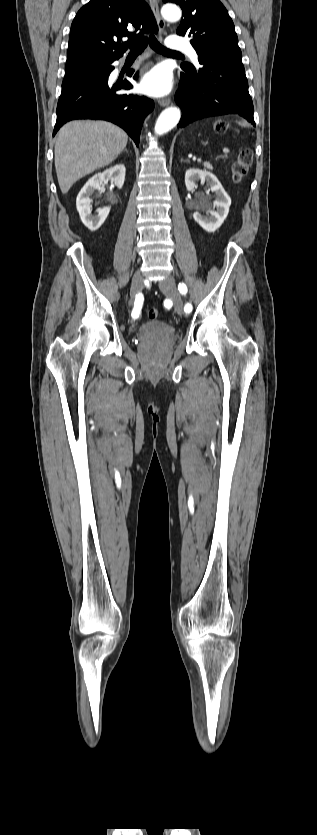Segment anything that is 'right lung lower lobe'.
Masks as SVG:
<instances>
[{
    "label": "right lung lower lobe",
    "mask_w": 317,
    "mask_h": 835,
    "mask_svg": "<svg viewBox=\"0 0 317 835\" xmlns=\"http://www.w3.org/2000/svg\"><path fill=\"white\" fill-rule=\"evenodd\" d=\"M98 59H102L98 54L70 56L66 62V73ZM115 60L117 59L107 60L108 66L99 79L63 87L57 105L53 135L68 121L100 119L117 124L130 135L137 146L139 145L144 118L153 110L154 103L145 96L116 94L118 90H128L133 86L126 80L108 83V76L113 70L110 64ZM133 72L130 70L128 75L131 76Z\"/></svg>",
    "instance_id": "obj_1"
}]
</instances>
